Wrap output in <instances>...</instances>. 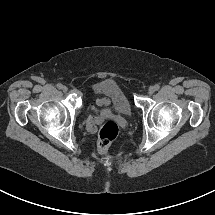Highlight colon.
Wrapping results in <instances>:
<instances>
[{
  "label": "colon",
  "instance_id": "1",
  "mask_svg": "<svg viewBox=\"0 0 215 215\" xmlns=\"http://www.w3.org/2000/svg\"><path fill=\"white\" fill-rule=\"evenodd\" d=\"M119 131V126L114 121H106L100 126L97 145L100 153L107 151L111 143L117 138Z\"/></svg>",
  "mask_w": 215,
  "mask_h": 215
}]
</instances>
